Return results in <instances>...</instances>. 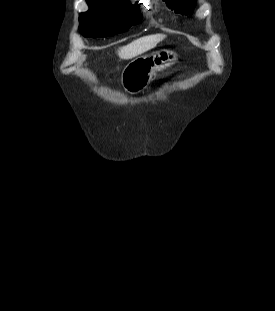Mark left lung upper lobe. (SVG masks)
I'll return each instance as SVG.
<instances>
[{
    "label": "left lung upper lobe",
    "mask_w": 275,
    "mask_h": 311,
    "mask_svg": "<svg viewBox=\"0 0 275 311\" xmlns=\"http://www.w3.org/2000/svg\"><path fill=\"white\" fill-rule=\"evenodd\" d=\"M170 9L177 13L190 14L196 5V0H164Z\"/></svg>",
    "instance_id": "5c2ea615"
}]
</instances>
